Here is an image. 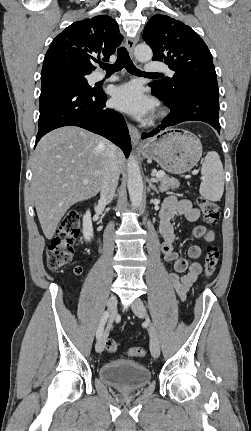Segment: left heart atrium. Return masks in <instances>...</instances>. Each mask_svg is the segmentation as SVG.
<instances>
[{
	"mask_svg": "<svg viewBox=\"0 0 251 431\" xmlns=\"http://www.w3.org/2000/svg\"><path fill=\"white\" fill-rule=\"evenodd\" d=\"M112 105L118 110L143 117L154 108V102L143 94L136 83H129L116 88L112 95Z\"/></svg>",
	"mask_w": 251,
	"mask_h": 431,
	"instance_id": "1",
	"label": "left heart atrium"
}]
</instances>
